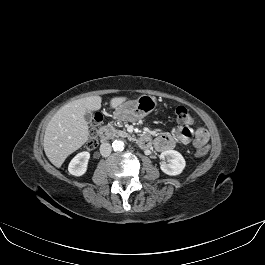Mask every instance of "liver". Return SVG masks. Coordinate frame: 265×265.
<instances>
[{
  "mask_svg": "<svg viewBox=\"0 0 265 265\" xmlns=\"http://www.w3.org/2000/svg\"><path fill=\"white\" fill-rule=\"evenodd\" d=\"M126 97H114L111 108H117ZM102 98L91 96L70 102L61 107L49 121L44 135V151L50 162L61 167L65 159L84 145L89 136V127L84 118L87 110L101 108Z\"/></svg>",
  "mask_w": 265,
  "mask_h": 265,
  "instance_id": "liver-1",
  "label": "liver"
}]
</instances>
